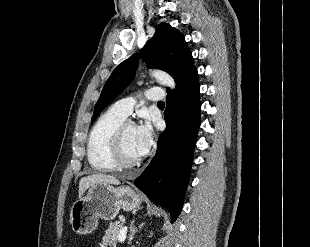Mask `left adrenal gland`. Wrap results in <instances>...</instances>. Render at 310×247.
I'll list each match as a JSON object with an SVG mask.
<instances>
[{
  "label": "left adrenal gland",
  "mask_w": 310,
  "mask_h": 247,
  "mask_svg": "<svg viewBox=\"0 0 310 247\" xmlns=\"http://www.w3.org/2000/svg\"><path fill=\"white\" fill-rule=\"evenodd\" d=\"M133 224H134V220H132V222H131V224H130V234H129L128 244L131 243V241H132L133 238H134L135 233H136L137 230H138L136 227H134ZM141 226H143V224H140V225H139V228H141Z\"/></svg>",
  "instance_id": "1"
}]
</instances>
